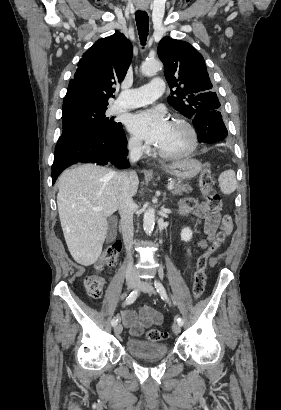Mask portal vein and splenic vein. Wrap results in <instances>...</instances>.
I'll list each match as a JSON object with an SVG mask.
<instances>
[{
	"mask_svg": "<svg viewBox=\"0 0 281 410\" xmlns=\"http://www.w3.org/2000/svg\"><path fill=\"white\" fill-rule=\"evenodd\" d=\"M167 189H168V190L174 189V185H173V184H169V185L167 186ZM93 210H94V211H101V210H103V207H94Z\"/></svg>",
	"mask_w": 281,
	"mask_h": 410,
	"instance_id": "obj_1",
	"label": "portal vein and splenic vein"
}]
</instances>
